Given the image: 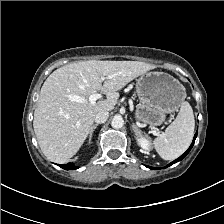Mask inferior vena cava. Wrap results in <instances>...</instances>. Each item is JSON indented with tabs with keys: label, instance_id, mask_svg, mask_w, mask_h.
<instances>
[{
	"label": "inferior vena cava",
	"instance_id": "inferior-vena-cava-1",
	"mask_svg": "<svg viewBox=\"0 0 224 224\" xmlns=\"http://www.w3.org/2000/svg\"><path fill=\"white\" fill-rule=\"evenodd\" d=\"M108 117H109V112L101 111L95 115L94 120L96 123H105L107 121Z\"/></svg>",
	"mask_w": 224,
	"mask_h": 224
}]
</instances>
